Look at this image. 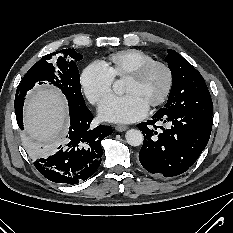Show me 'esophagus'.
I'll return each mask as SVG.
<instances>
[{"label": "esophagus", "mask_w": 233, "mask_h": 233, "mask_svg": "<svg viewBox=\"0 0 233 233\" xmlns=\"http://www.w3.org/2000/svg\"><path fill=\"white\" fill-rule=\"evenodd\" d=\"M115 128H116L117 131L123 132V131H126L128 129V126H125V125H116Z\"/></svg>", "instance_id": "1"}]
</instances>
